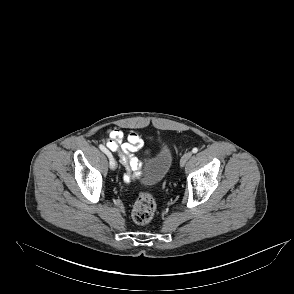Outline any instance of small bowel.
<instances>
[{
	"instance_id": "obj_1",
	"label": "small bowel",
	"mask_w": 294,
	"mask_h": 294,
	"mask_svg": "<svg viewBox=\"0 0 294 294\" xmlns=\"http://www.w3.org/2000/svg\"><path fill=\"white\" fill-rule=\"evenodd\" d=\"M104 144L110 151L118 153L120 162L126 167L127 172L124 175L126 183L140 175L138 170L141 167V162L134 156V153L143 147L144 142L138 131L130 130L125 134L120 129H110Z\"/></svg>"
}]
</instances>
